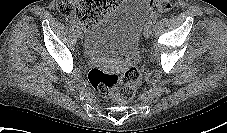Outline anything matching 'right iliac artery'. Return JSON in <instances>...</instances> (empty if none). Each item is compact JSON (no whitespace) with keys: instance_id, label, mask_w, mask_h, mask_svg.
Instances as JSON below:
<instances>
[{"instance_id":"82829eb1","label":"right iliac artery","mask_w":227,"mask_h":133,"mask_svg":"<svg viewBox=\"0 0 227 133\" xmlns=\"http://www.w3.org/2000/svg\"><path fill=\"white\" fill-rule=\"evenodd\" d=\"M70 23L73 27H79L76 20H71Z\"/></svg>"}]
</instances>
